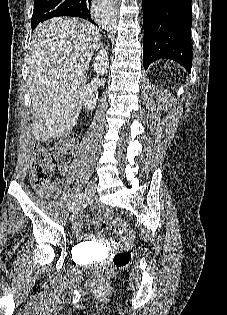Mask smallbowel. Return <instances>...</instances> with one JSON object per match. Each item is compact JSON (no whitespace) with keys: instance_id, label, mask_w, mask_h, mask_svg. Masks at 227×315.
Returning <instances> with one entry per match:
<instances>
[{"instance_id":"obj_1","label":"small bowel","mask_w":227,"mask_h":315,"mask_svg":"<svg viewBox=\"0 0 227 315\" xmlns=\"http://www.w3.org/2000/svg\"><path fill=\"white\" fill-rule=\"evenodd\" d=\"M59 171L62 175H67L69 174V171H70V168L68 165L66 164H62L60 167H59ZM56 191L53 187H49L48 189H45V190H38V192L41 194V195H47L49 192H54ZM90 222V218L88 215H83L80 219V221L78 223H76L74 225V232H77L78 231V228L80 227V225L82 223H89Z\"/></svg>"}]
</instances>
